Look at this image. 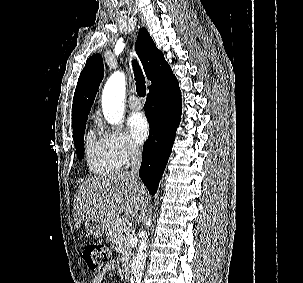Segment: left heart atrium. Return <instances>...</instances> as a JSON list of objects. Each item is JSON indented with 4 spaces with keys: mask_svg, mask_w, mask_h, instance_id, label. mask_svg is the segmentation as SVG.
<instances>
[{
    "mask_svg": "<svg viewBox=\"0 0 303 283\" xmlns=\"http://www.w3.org/2000/svg\"><path fill=\"white\" fill-rule=\"evenodd\" d=\"M128 127L132 138L142 143L149 135V123L146 116L143 113H134L128 120Z\"/></svg>",
    "mask_w": 303,
    "mask_h": 283,
    "instance_id": "left-heart-atrium-1",
    "label": "left heart atrium"
}]
</instances>
